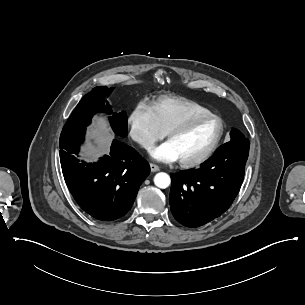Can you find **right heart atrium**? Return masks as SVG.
Masks as SVG:
<instances>
[{
    "label": "right heart atrium",
    "instance_id": "obj_1",
    "mask_svg": "<svg viewBox=\"0 0 305 305\" xmlns=\"http://www.w3.org/2000/svg\"><path fill=\"white\" fill-rule=\"evenodd\" d=\"M126 124L130 138L144 149H151L165 134L152 106L143 102L133 108Z\"/></svg>",
    "mask_w": 305,
    "mask_h": 305
}]
</instances>
